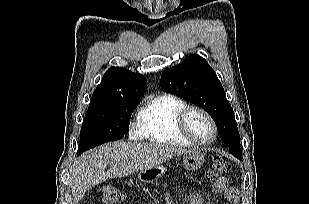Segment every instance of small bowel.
Wrapping results in <instances>:
<instances>
[{
	"instance_id": "c3829d8e",
	"label": "small bowel",
	"mask_w": 309,
	"mask_h": 204,
	"mask_svg": "<svg viewBox=\"0 0 309 204\" xmlns=\"http://www.w3.org/2000/svg\"><path fill=\"white\" fill-rule=\"evenodd\" d=\"M212 189L215 193L222 194L230 202H235L238 199L237 189L229 186L228 178L225 176L218 178L214 182ZM190 200L191 204H203L199 194H192Z\"/></svg>"
}]
</instances>
